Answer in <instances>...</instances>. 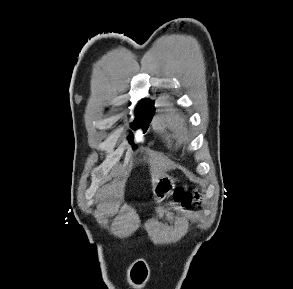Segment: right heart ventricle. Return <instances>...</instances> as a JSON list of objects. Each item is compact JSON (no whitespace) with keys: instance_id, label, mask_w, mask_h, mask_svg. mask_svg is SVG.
Segmentation results:
<instances>
[{"instance_id":"obj_1","label":"right heart ventricle","mask_w":293,"mask_h":289,"mask_svg":"<svg viewBox=\"0 0 293 289\" xmlns=\"http://www.w3.org/2000/svg\"><path fill=\"white\" fill-rule=\"evenodd\" d=\"M154 125L168 142L181 144L188 140V130L183 119L172 110L163 111L155 119Z\"/></svg>"}]
</instances>
